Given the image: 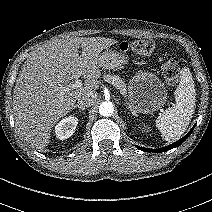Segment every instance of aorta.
<instances>
[{
  "instance_id": "762f6f07",
  "label": "aorta",
  "mask_w": 212,
  "mask_h": 212,
  "mask_svg": "<svg viewBox=\"0 0 212 212\" xmlns=\"http://www.w3.org/2000/svg\"><path fill=\"white\" fill-rule=\"evenodd\" d=\"M114 112V105L112 102H103L99 106V113L103 117H109L113 114Z\"/></svg>"
}]
</instances>
